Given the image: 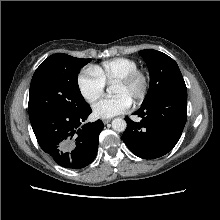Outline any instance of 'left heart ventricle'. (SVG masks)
Instances as JSON below:
<instances>
[{
	"label": "left heart ventricle",
	"instance_id": "left-heart-ventricle-1",
	"mask_svg": "<svg viewBox=\"0 0 220 220\" xmlns=\"http://www.w3.org/2000/svg\"><path fill=\"white\" fill-rule=\"evenodd\" d=\"M139 91L140 83L136 82L130 86L115 85L113 94L115 96L124 95L132 101L135 98V96L139 93Z\"/></svg>",
	"mask_w": 220,
	"mask_h": 220
}]
</instances>
